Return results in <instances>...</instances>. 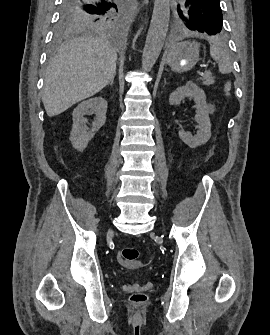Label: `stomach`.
Wrapping results in <instances>:
<instances>
[{"label":"stomach","instance_id":"obj_1","mask_svg":"<svg viewBox=\"0 0 270 335\" xmlns=\"http://www.w3.org/2000/svg\"><path fill=\"white\" fill-rule=\"evenodd\" d=\"M198 42H178L168 48L166 62L173 72H188L199 60Z\"/></svg>","mask_w":270,"mask_h":335}]
</instances>
